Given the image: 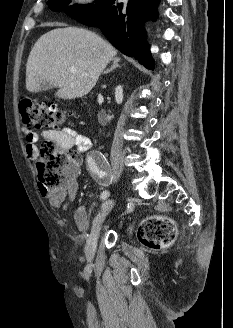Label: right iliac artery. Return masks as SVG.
<instances>
[{"instance_id": "obj_1", "label": "right iliac artery", "mask_w": 233, "mask_h": 328, "mask_svg": "<svg viewBox=\"0 0 233 328\" xmlns=\"http://www.w3.org/2000/svg\"><path fill=\"white\" fill-rule=\"evenodd\" d=\"M89 169L95 181L101 186L108 184L106 169L108 168V162L104 155L98 151H93L87 159ZM109 197L108 191H103L100 198L105 200Z\"/></svg>"}]
</instances>
